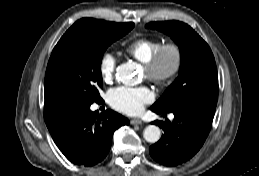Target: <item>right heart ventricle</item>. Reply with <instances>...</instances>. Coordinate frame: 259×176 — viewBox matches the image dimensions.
<instances>
[{"mask_svg": "<svg viewBox=\"0 0 259 176\" xmlns=\"http://www.w3.org/2000/svg\"><path fill=\"white\" fill-rule=\"evenodd\" d=\"M162 44L163 42L159 38L138 37L126 45L125 53L140 63H145Z\"/></svg>", "mask_w": 259, "mask_h": 176, "instance_id": "e07e8e85", "label": "right heart ventricle"}]
</instances>
